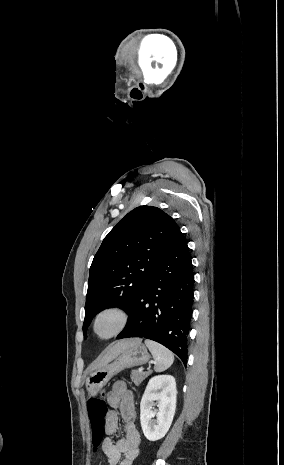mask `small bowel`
I'll list each match as a JSON object with an SVG mask.
<instances>
[{
    "label": "small bowel",
    "mask_w": 284,
    "mask_h": 465,
    "mask_svg": "<svg viewBox=\"0 0 284 465\" xmlns=\"http://www.w3.org/2000/svg\"><path fill=\"white\" fill-rule=\"evenodd\" d=\"M112 410L107 415L105 432L107 437L102 443L108 465H133L140 453V433L137 429V413L134 396L127 384L118 380L107 395ZM124 423L125 436L113 439L118 430L119 419Z\"/></svg>",
    "instance_id": "obj_1"
}]
</instances>
